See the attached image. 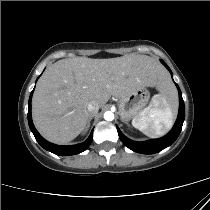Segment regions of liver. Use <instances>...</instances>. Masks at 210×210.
<instances>
[{"label": "liver", "instance_id": "1", "mask_svg": "<svg viewBox=\"0 0 210 210\" xmlns=\"http://www.w3.org/2000/svg\"><path fill=\"white\" fill-rule=\"evenodd\" d=\"M169 81L164 68L146 55L62 59L38 81L32 99L33 122L45 139L65 144L84 131L90 102L103 107L111 96L123 98L146 86L163 92Z\"/></svg>", "mask_w": 210, "mask_h": 210}]
</instances>
